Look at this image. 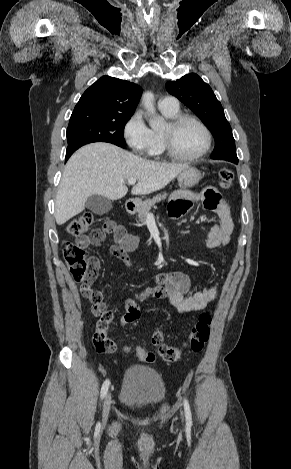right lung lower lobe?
<instances>
[{
	"label": "right lung lower lobe",
	"instance_id": "98d812e1",
	"mask_svg": "<svg viewBox=\"0 0 291 469\" xmlns=\"http://www.w3.org/2000/svg\"><path fill=\"white\" fill-rule=\"evenodd\" d=\"M82 145H75V146H70L66 150V156H65V162L69 159V157L75 152L78 148H80Z\"/></svg>",
	"mask_w": 291,
	"mask_h": 469
}]
</instances>
